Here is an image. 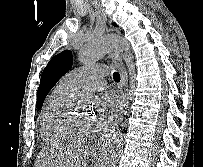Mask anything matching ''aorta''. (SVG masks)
I'll return each instance as SVG.
<instances>
[{"mask_svg":"<svg viewBox=\"0 0 203 167\" xmlns=\"http://www.w3.org/2000/svg\"><path fill=\"white\" fill-rule=\"evenodd\" d=\"M128 50L127 42L116 35L103 36L88 41L79 51L78 59L84 64H92L112 51ZM123 151V135L115 134L106 142L99 167H116Z\"/></svg>","mask_w":203,"mask_h":167,"instance_id":"aorta-1","label":"aorta"}]
</instances>
